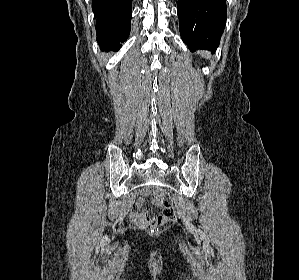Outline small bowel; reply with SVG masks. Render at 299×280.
<instances>
[{
    "mask_svg": "<svg viewBox=\"0 0 299 280\" xmlns=\"http://www.w3.org/2000/svg\"><path fill=\"white\" fill-rule=\"evenodd\" d=\"M143 203H144V198L141 197L137 200L138 209L143 205ZM131 218L135 223L140 225H147L150 220V218L147 217V214L145 212L139 210L133 211L131 213Z\"/></svg>",
    "mask_w": 299,
    "mask_h": 280,
    "instance_id": "small-bowel-1",
    "label": "small bowel"
}]
</instances>
